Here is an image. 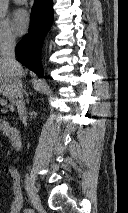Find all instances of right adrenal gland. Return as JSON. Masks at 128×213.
I'll use <instances>...</instances> for the list:
<instances>
[{"mask_svg": "<svg viewBox=\"0 0 128 213\" xmlns=\"http://www.w3.org/2000/svg\"><path fill=\"white\" fill-rule=\"evenodd\" d=\"M24 94H25V97H26V102H29V100H28V97H29V95H31L32 93H28L27 91H26V88H24Z\"/></svg>", "mask_w": 128, "mask_h": 213, "instance_id": "obj_1", "label": "right adrenal gland"}]
</instances>
